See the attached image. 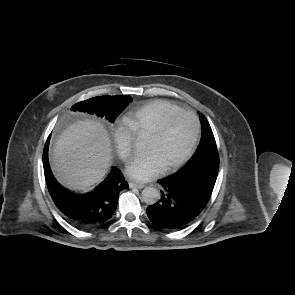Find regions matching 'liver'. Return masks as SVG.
I'll return each mask as SVG.
<instances>
[{
  "label": "liver",
  "instance_id": "6515ba94",
  "mask_svg": "<svg viewBox=\"0 0 295 295\" xmlns=\"http://www.w3.org/2000/svg\"><path fill=\"white\" fill-rule=\"evenodd\" d=\"M112 160L111 141L102 124L80 120L65 129L54 145L52 169L72 190H88L103 180Z\"/></svg>",
  "mask_w": 295,
  "mask_h": 295
}]
</instances>
